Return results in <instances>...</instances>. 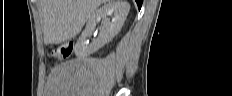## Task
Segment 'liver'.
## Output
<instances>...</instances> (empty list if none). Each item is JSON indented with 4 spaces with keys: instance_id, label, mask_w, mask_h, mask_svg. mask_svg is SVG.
Returning <instances> with one entry per match:
<instances>
[{
    "instance_id": "obj_1",
    "label": "liver",
    "mask_w": 232,
    "mask_h": 96,
    "mask_svg": "<svg viewBox=\"0 0 232 96\" xmlns=\"http://www.w3.org/2000/svg\"><path fill=\"white\" fill-rule=\"evenodd\" d=\"M108 0H39L44 42L60 44L80 33L96 8Z\"/></svg>"
}]
</instances>
